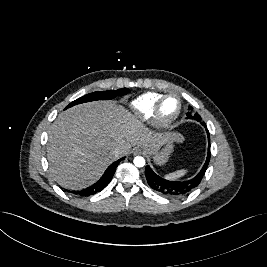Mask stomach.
<instances>
[{"label":"stomach","instance_id":"stomach-1","mask_svg":"<svg viewBox=\"0 0 267 267\" xmlns=\"http://www.w3.org/2000/svg\"><path fill=\"white\" fill-rule=\"evenodd\" d=\"M173 149H174V141L168 140L157 151L154 152H148L146 150L145 151L153 156L154 162L156 164L163 165L168 161L171 153L173 152Z\"/></svg>","mask_w":267,"mask_h":267}]
</instances>
